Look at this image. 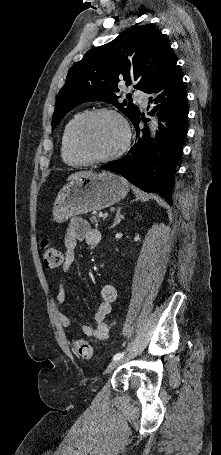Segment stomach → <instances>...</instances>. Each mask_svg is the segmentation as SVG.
<instances>
[{"label":"stomach","mask_w":221,"mask_h":455,"mask_svg":"<svg viewBox=\"0 0 221 455\" xmlns=\"http://www.w3.org/2000/svg\"><path fill=\"white\" fill-rule=\"evenodd\" d=\"M128 191V183L114 173L79 177L59 191L52 210L53 218L61 223L75 215L110 207L123 199Z\"/></svg>","instance_id":"obj_1"}]
</instances>
